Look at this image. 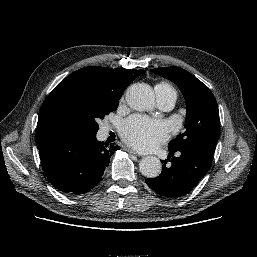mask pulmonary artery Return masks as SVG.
<instances>
[{
  "label": "pulmonary artery",
  "mask_w": 257,
  "mask_h": 257,
  "mask_svg": "<svg viewBox=\"0 0 257 257\" xmlns=\"http://www.w3.org/2000/svg\"><path fill=\"white\" fill-rule=\"evenodd\" d=\"M157 99H158L159 108L164 111L171 110L174 107L176 102V97L169 94H165V95L158 94Z\"/></svg>",
  "instance_id": "pulmonary-artery-1"
}]
</instances>
